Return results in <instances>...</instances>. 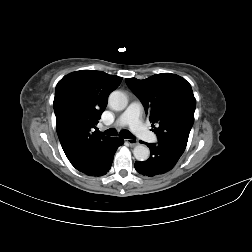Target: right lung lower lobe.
<instances>
[{"mask_svg":"<svg viewBox=\"0 0 252 252\" xmlns=\"http://www.w3.org/2000/svg\"><path fill=\"white\" fill-rule=\"evenodd\" d=\"M123 143L124 140L121 138H110L95 152L93 156L88 157L75 168L90 176L98 177L105 175L111 168L117 148Z\"/></svg>","mask_w":252,"mask_h":252,"instance_id":"right-lung-lower-lobe-1","label":"right lung lower lobe"}]
</instances>
